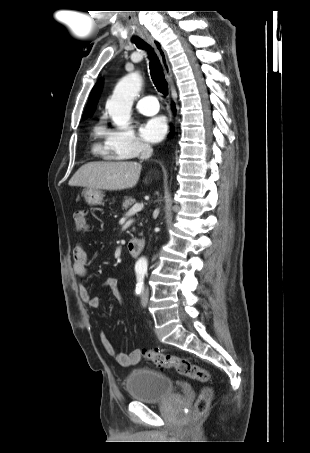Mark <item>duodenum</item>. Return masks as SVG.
Returning <instances> with one entry per match:
<instances>
[{"mask_svg": "<svg viewBox=\"0 0 310 453\" xmlns=\"http://www.w3.org/2000/svg\"><path fill=\"white\" fill-rule=\"evenodd\" d=\"M145 241L143 239H131L128 242L127 248L132 257H138L143 251Z\"/></svg>", "mask_w": 310, "mask_h": 453, "instance_id": "obj_1", "label": "duodenum"}]
</instances>
